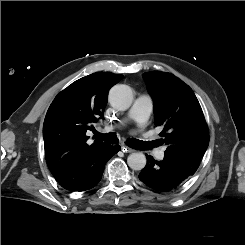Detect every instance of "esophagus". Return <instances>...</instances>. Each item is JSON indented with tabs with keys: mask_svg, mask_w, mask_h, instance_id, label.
<instances>
[{
	"mask_svg": "<svg viewBox=\"0 0 245 245\" xmlns=\"http://www.w3.org/2000/svg\"><path fill=\"white\" fill-rule=\"evenodd\" d=\"M121 150H122L124 153H131V152L134 151L133 149H131V148L125 146V145H122Z\"/></svg>",
	"mask_w": 245,
	"mask_h": 245,
	"instance_id": "1",
	"label": "esophagus"
}]
</instances>
